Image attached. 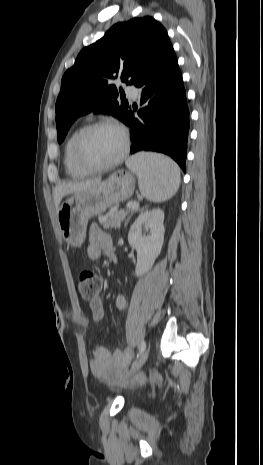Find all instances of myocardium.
Returning <instances> with one entry per match:
<instances>
[{
  "label": "myocardium",
  "instance_id": "1",
  "mask_svg": "<svg viewBox=\"0 0 263 465\" xmlns=\"http://www.w3.org/2000/svg\"><path fill=\"white\" fill-rule=\"evenodd\" d=\"M103 127H108V128H112V129H115L117 130L120 135H121V138H122V148H121V151L120 153L118 154V156L113 159L112 161L106 163V164H102V165H94V164H91L89 163L83 156V144H84V140H85V137L87 136V134L89 132H91L92 130L94 129H97V128H103ZM129 146H130V140H129V135L126 131V129L120 125L119 123L115 122V121H111V120H97V121H94V122H91L85 126H83L76 138H75V142H74V158H75V161L77 162V164L85 171L89 172V173H94V172H103V171H107V170H110L114 167H116L117 165H119L123 160L124 158L126 157L128 151H129Z\"/></svg>",
  "mask_w": 263,
  "mask_h": 465
}]
</instances>
